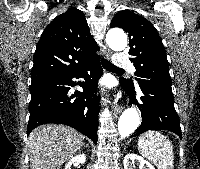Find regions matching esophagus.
Wrapping results in <instances>:
<instances>
[{
  "label": "esophagus",
  "mask_w": 200,
  "mask_h": 169,
  "mask_svg": "<svg viewBox=\"0 0 200 169\" xmlns=\"http://www.w3.org/2000/svg\"><path fill=\"white\" fill-rule=\"evenodd\" d=\"M111 54H112V52L108 49V50L105 52L106 58H107V59H110ZM122 109H123V107L120 106V105H118V104H115V105L113 106V112L116 113V114L120 113V112L122 111Z\"/></svg>",
  "instance_id": "34e87169"
}]
</instances>
